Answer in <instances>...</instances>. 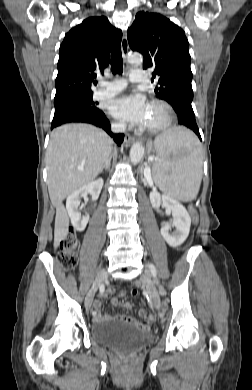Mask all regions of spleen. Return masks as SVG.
Returning <instances> with one entry per match:
<instances>
[{
	"label": "spleen",
	"mask_w": 252,
	"mask_h": 390,
	"mask_svg": "<svg viewBox=\"0 0 252 390\" xmlns=\"http://www.w3.org/2000/svg\"><path fill=\"white\" fill-rule=\"evenodd\" d=\"M160 157L153 165L156 186L167 196L183 202L197 197L202 180V151L197 137L183 127H175L155 139ZM172 155V159L167 157Z\"/></svg>",
	"instance_id": "obj_1"
}]
</instances>
